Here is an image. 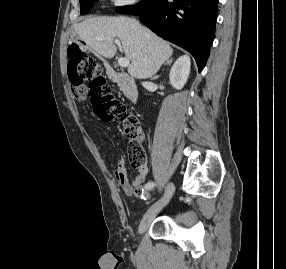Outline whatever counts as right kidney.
Masks as SVG:
<instances>
[{
    "instance_id": "1",
    "label": "right kidney",
    "mask_w": 286,
    "mask_h": 269,
    "mask_svg": "<svg viewBox=\"0 0 286 269\" xmlns=\"http://www.w3.org/2000/svg\"><path fill=\"white\" fill-rule=\"evenodd\" d=\"M190 58L187 55L179 57L173 64L169 79L171 85L177 89L181 90L187 82L190 73Z\"/></svg>"
}]
</instances>
